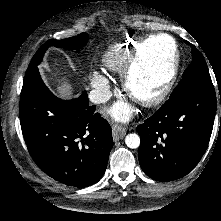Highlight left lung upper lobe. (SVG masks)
I'll list each match as a JSON object with an SVG mask.
<instances>
[{"instance_id": "left-lung-upper-lobe-1", "label": "left lung upper lobe", "mask_w": 221, "mask_h": 221, "mask_svg": "<svg viewBox=\"0 0 221 221\" xmlns=\"http://www.w3.org/2000/svg\"><path fill=\"white\" fill-rule=\"evenodd\" d=\"M191 45V44H190ZM192 46V62L185 70L182 80L173 90L170 97L175 96L186 86L194 83L213 85L206 61L195 46Z\"/></svg>"}]
</instances>
